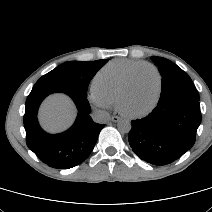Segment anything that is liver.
<instances>
[{
	"label": "liver",
	"instance_id": "1",
	"mask_svg": "<svg viewBox=\"0 0 212 212\" xmlns=\"http://www.w3.org/2000/svg\"><path fill=\"white\" fill-rule=\"evenodd\" d=\"M75 107L64 95H53L45 100L40 109V122L50 132H58L69 126L75 117Z\"/></svg>",
	"mask_w": 212,
	"mask_h": 212
}]
</instances>
